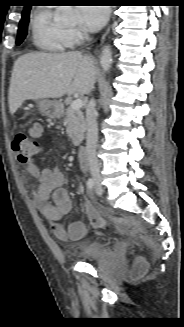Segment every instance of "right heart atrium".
I'll use <instances>...</instances> for the list:
<instances>
[{"mask_svg": "<svg viewBox=\"0 0 184 327\" xmlns=\"http://www.w3.org/2000/svg\"><path fill=\"white\" fill-rule=\"evenodd\" d=\"M71 46H77L81 44L85 38V33L78 28H72L68 30Z\"/></svg>", "mask_w": 184, "mask_h": 327, "instance_id": "d8ad5b80", "label": "right heart atrium"}]
</instances>
